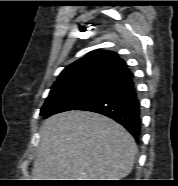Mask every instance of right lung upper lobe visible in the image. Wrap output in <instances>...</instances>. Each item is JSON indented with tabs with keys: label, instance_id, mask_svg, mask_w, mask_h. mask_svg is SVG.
<instances>
[{
	"label": "right lung upper lobe",
	"instance_id": "right-lung-upper-lobe-1",
	"mask_svg": "<svg viewBox=\"0 0 178 186\" xmlns=\"http://www.w3.org/2000/svg\"><path fill=\"white\" fill-rule=\"evenodd\" d=\"M131 75L124 60L116 53L94 50L67 66L53 84L50 92L85 84L111 85Z\"/></svg>",
	"mask_w": 178,
	"mask_h": 186
}]
</instances>
